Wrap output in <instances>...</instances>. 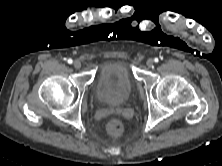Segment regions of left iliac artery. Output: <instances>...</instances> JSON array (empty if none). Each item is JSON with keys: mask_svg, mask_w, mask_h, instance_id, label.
Masks as SVG:
<instances>
[{"mask_svg": "<svg viewBox=\"0 0 222 166\" xmlns=\"http://www.w3.org/2000/svg\"><path fill=\"white\" fill-rule=\"evenodd\" d=\"M154 61H155V62H158L159 60H158V58H155Z\"/></svg>", "mask_w": 222, "mask_h": 166, "instance_id": "left-iliac-artery-1", "label": "left iliac artery"}]
</instances>
